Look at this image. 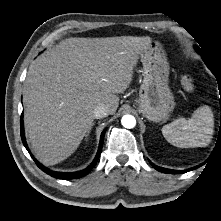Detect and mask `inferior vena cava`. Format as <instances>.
<instances>
[{
    "instance_id": "1",
    "label": "inferior vena cava",
    "mask_w": 221,
    "mask_h": 221,
    "mask_svg": "<svg viewBox=\"0 0 221 221\" xmlns=\"http://www.w3.org/2000/svg\"><path fill=\"white\" fill-rule=\"evenodd\" d=\"M109 115V109L104 104L97 105L93 110V116L96 119L104 118Z\"/></svg>"
}]
</instances>
